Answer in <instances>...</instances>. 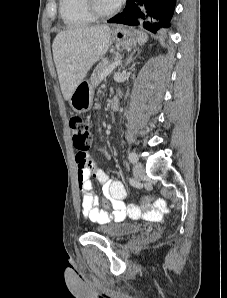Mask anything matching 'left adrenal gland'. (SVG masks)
<instances>
[{
  "label": "left adrenal gland",
  "instance_id": "left-adrenal-gland-1",
  "mask_svg": "<svg viewBox=\"0 0 227 298\" xmlns=\"http://www.w3.org/2000/svg\"><path fill=\"white\" fill-rule=\"evenodd\" d=\"M137 52L136 56L134 57L135 53ZM140 50L136 48L126 59L125 66H128L136 57L140 54Z\"/></svg>",
  "mask_w": 227,
  "mask_h": 298
}]
</instances>
